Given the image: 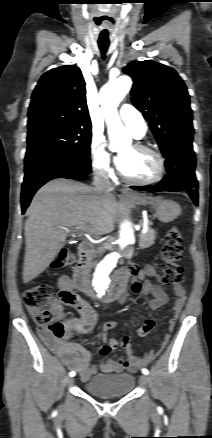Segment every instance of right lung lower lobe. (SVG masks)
Masks as SVG:
<instances>
[{
	"label": "right lung lower lobe",
	"mask_w": 212,
	"mask_h": 438,
	"mask_svg": "<svg viewBox=\"0 0 212 438\" xmlns=\"http://www.w3.org/2000/svg\"><path fill=\"white\" fill-rule=\"evenodd\" d=\"M91 173L90 158L32 154L25 157V176L22 184V213L34 193L46 182L55 178L75 179Z\"/></svg>",
	"instance_id": "obj_1"
}]
</instances>
